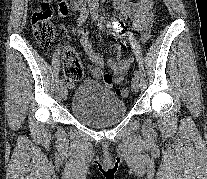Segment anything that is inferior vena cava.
Returning a JSON list of instances; mask_svg holds the SVG:
<instances>
[{
    "label": "inferior vena cava",
    "mask_w": 207,
    "mask_h": 179,
    "mask_svg": "<svg viewBox=\"0 0 207 179\" xmlns=\"http://www.w3.org/2000/svg\"><path fill=\"white\" fill-rule=\"evenodd\" d=\"M74 1H78V2H84L85 0H74Z\"/></svg>",
    "instance_id": "inferior-vena-cava-1"
}]
</instances>
